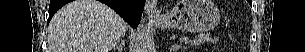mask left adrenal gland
Masks as SVG:
<instances>
[{"label":"left adrenal gland","mask_w":305,"mask_h":52,"mask_svg":"<svg viewBox=\"0 0 305 52\" xmlns=\"http://www.w3.org/2000/svg\"><path fill=\"white\" fill-rule=\"evenodd\" d=\"M182 48V46H180V45H171V51H173V52H177L179 49H181Z\"/></svg>","instance_id":"left-adrenal-gland-1"}]
</instances>
